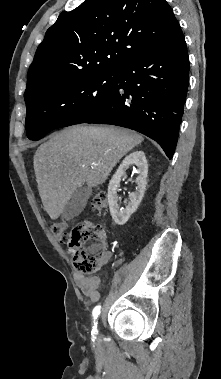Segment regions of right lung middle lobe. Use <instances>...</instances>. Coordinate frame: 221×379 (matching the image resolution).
Returning a JSON list of instances; mask_svg holds the SVG:
<instances>
[{"label": "right lung middle lobe", "mask_w": 221, "mask_h": 379, "mask_svg": "<svg viewBox=\"0 0 221 379\" xmlns=\"http://www.w3.org/2000/svg\"><path fill=\"white\" fill-rule=\"evenodd\" d=\"M117 69L85 74L51 86L26 102V130L30 140H39L53 129L87 118L105 104L113 89Z\"/></svg>", "instance_id": "dd1d6c3e"}]
</instances>
